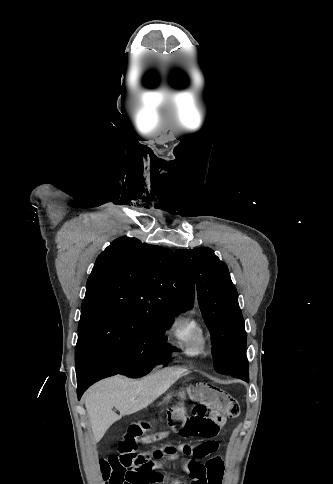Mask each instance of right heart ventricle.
Segmentation results:
<instances>
[{
  "label": "right heart ventricle",
  "mask_w": 333,
  "mask_h": 484,
  "mask_svg": "<svg viewBox=\"0 0 333 484\" xmlns=\"http://www.w3.org/2000/svg\"><path fill=\"white\" fill-rule=\"evenodd\" d=\"M171 334L183 354L196 357L203 355L207 339L202 323L193 315L187 314L175 320Z\"/></svg>",
  "instance_id": "right-heart-ventricle-1"
}]
</instances>
